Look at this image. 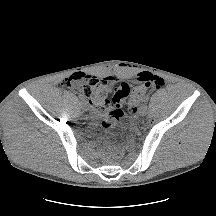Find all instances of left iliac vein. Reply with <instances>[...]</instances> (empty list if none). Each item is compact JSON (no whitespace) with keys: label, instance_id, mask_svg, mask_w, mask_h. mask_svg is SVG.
Returning a JSON list of instances; mask_svg holds the SVG:
<instances>
[{"label":"left iliac vein","instance_id":"1","mask_svg":"<svg viewBox=\"0 0 216 216\" xmlns=\"http://www.w3.org/2000/svg\"><path fill=\"white\" fill-rule=\"evenodd\" d=\"M148 111V107L146 105L141 106L139 110V115L140 116H145Z\"/></svg>","mask_w":216,"mask_h":216}]
</instances>
